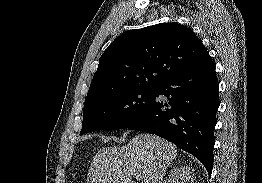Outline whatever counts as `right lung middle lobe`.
<instances>
[{
  "mask_svg": "<svg viewBox=\"0 0 262 183\" xmlns=\"http://www.w3.org/2000/svg\"><path fill=\"white\" fill-rule=\"evenodd\" d=\"M156 88H131L85 101L80 134L126 128L154 100Z\"/></svg>",
  "mask_w": 262,
  "mask_h": 183,
  "instance_id": "obj_1",
  "label": "right lung middle lobe"
}]
</instances>
